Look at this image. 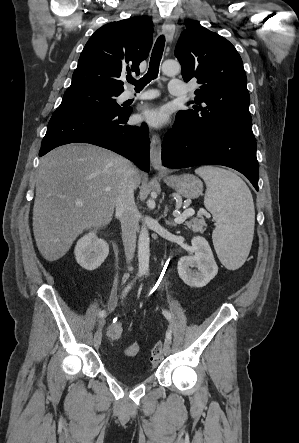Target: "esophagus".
<instances>
[{"mask_svg": "<svg viewBox=\"0 0 299 443\" xmlns=\"http://www.w3.org/2000/svg\"><path fill=\"white\" fill-rule=\"evenodd\" d=\"M162 32L165 34L167 41L171 42L175 33V25L170 18L166 19L162 26ZM161 139L159 135L153 134L150 144V160L152 167L157 171H164L161 160Z\"/></svg>", "mask_w": 299, "mask_h": 443, "instance_id": "esophagus-1", "label": "esophagus"}]
</instances>
